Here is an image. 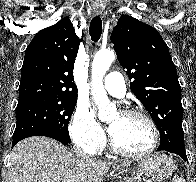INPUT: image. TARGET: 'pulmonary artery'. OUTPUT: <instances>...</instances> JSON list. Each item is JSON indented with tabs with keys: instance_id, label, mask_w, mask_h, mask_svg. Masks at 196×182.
Returning a JSON list of instances; mask_svg holds the SVG:
<instances>
[{
	"instance_id": "e3ab8cb5",
	"label": "pulmonary artery",
	"mask_w": 196,
	"mask_h": 182,
	"mask_svg": "<svg viewBox=\"0 0 196 182\" xmlns=\"http://www.w3.org/2000/svg\"><path fill=\"white\" fill-rule=\"evenodd\" d=\"M104 89L112 96L123 97L126 92L123 76L118 72L109 73L104 80Z\"/></svg>"
}]
</instances>
